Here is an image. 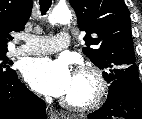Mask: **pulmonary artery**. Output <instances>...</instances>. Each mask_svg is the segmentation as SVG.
<instances>
[{"instance_id": "obj_1", "label": "pulmonary artery", "mask_w": 142, "mask_h": 119, "mask_svg": "<svg viewBox=\"0 0 142 119\" xmlns=\"http://www.w3.org/2000/svg\"><path fill=\"white\" fill-rule=\"evenodd\" d=\"M24 44L14 50L18 55H34L54 53L66 48L70 43V35L61 32L54 37L23 36Z\"/></svg>"}]
</instances>
